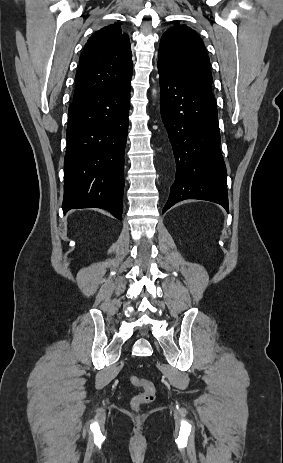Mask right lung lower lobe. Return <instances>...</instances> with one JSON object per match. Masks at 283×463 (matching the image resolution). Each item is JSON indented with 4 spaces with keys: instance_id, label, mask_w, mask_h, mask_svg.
Here are the masks:
<instances>
[{
    "instance_id": "obj_1",
    "label": "right lung lower lobe",
    "mask_w": 283,
    "mask_h": 463,
    "mask_svg": "<svg viewBox=\"0 0 283 463\" xmlns=\"http://www.w3.org/2000/svg\"><path fill=\"white\" fill-rule=\"evenodd\" d=\"M130 80L75 99L69 106L64 213L97 207L122 220Z\"/></svg>"
}]
</instances>
